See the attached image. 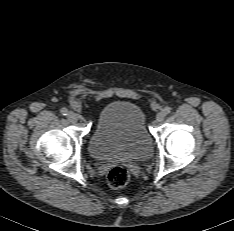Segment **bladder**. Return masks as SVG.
<instances>
[{
	"label": "bladder",
	"instance_id": "obj_1",
	"mask_svg": "<svg viewBox=\"0 0 234 231\" xmlns=\"http://www.w3.org/2000/svg\"><path fill=\"white\" fill-rule=\"evenodd\" d=\"M88 145L97 161L148 160L153 140L144 111L138 104L126 100L109 103L100 113Z\"/></svg>",
	"mask_w": 234,
	"mask_h": 231
}]
</instances>
